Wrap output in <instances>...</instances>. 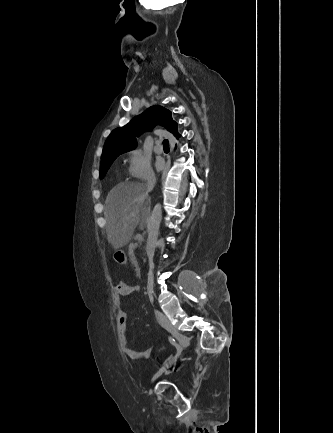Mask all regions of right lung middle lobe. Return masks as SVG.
<instances>
[{"instance_id":"dd1d6c3e","label":"right lung middle lobe","mask_w":333,"mask_h":433,"mask_svg":"<svg viewBox=\"0 0 333 433\" xmlns=\"http://www.w3.org/2000/svg\"><path fill=\"white\" fill-rule=\"evenodd\" d=\"M120 154H116L113 156H110L109 158H107L106 160L101 161V166H100V179H102L106 172L108 171L109 167L111 166V164L113 163V161L119 156Z\"/></svg>"}]
</instances>
